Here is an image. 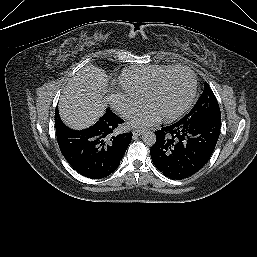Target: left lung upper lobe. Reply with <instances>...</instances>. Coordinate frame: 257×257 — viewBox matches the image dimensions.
Masks as SVG:
<instances>
[{
	"mask_svg": "<svg viewBox=\"0 0 257 257\" xmlns=\"http://www.w3.org/2000/svg\"><path fill=\"white\" fill-rule=\"evenodd\" d=\"M207 117H221V112L213 91L208 83L205 82L203 93L195 106L183 119L196 121Z\"/></svg>",
	"mask_w": 257,
	"mask_h": 257,
	"instance_id": "5c2ea615",
	"label": "left lung upper lobe"
}]
</instances>
